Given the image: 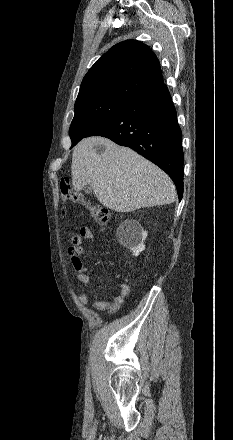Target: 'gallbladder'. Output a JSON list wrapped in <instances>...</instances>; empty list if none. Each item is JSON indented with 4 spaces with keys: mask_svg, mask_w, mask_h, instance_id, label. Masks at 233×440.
<instances>
[{
    "mask_svg": "<svg viewBox=\"0 0 233 440\" xmlns=\"http://www.w3.org/2000/svg\"><path fill=\"white\" fill-rule=\"evenodd\" d=\"M83 190H84V192H85L86 194H92V193H93V189H92L90 186H85V187L83 188Z\"/></svg>",
    "mask_w": 233,
    "mask_h": 440,
    "instance_id": "obj_1",
    "label": "gallbladder"
}]
</instances>
